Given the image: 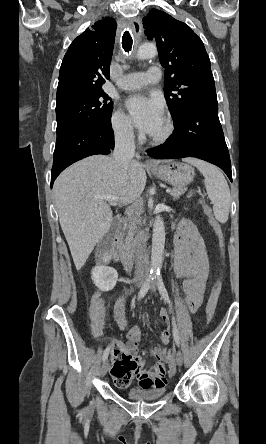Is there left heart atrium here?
<instances>
[{
  "instance_id": "obj_1",
  "label": "left heart atrium",
  "mask_w": 266,
  "mask_h": 444,
  "mask_svg": "<svg viewBox=\"0 0 266 444\" xmlns=\"http://www.w3.org/2000/svg\"><path fill=\"white\" fill-rule=\"evenodd\" d=\"M127 109L136 126L147 134L154 135L164 123L163 108L156 98L134 95L127 101Z\"/></svg>"
}]
</instances>
